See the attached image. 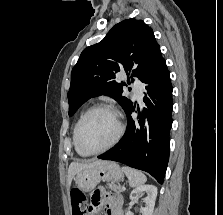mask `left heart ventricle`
<instances>
[{
  "mask_svg": "<svg viewBox=\"0 0 223 215\" xmlns=\"http://www.w3.org/2000/svg\"><path fill=\"white\" fill-rule=\"evenodd\" d=\"M117 130V120L112 113L105 110L96 111L81 127L79 145L87 152L101 150L110 144Z\"/></svg>",
  "mask_w": 223,
  "mask_h": 215,
  "instance_id": "1",
  "label": "left heart ventricle"
}]
</instances>
